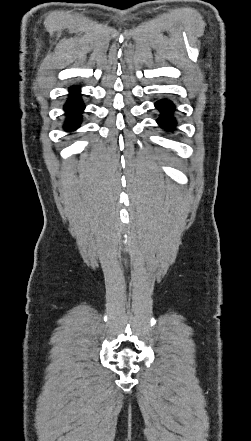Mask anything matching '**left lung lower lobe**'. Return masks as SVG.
<instances>
[{
    "instance_id": "obj_1",
    "label": "left lung lower lobe",
    "mask_w": 251,
    "mask_h": 441,
    "mask_svg": "<svg viewBox=\"0 0 251 441\" xmlns=\"http://www.w3.org/2000/svg\"><path fill=\"white\" fill-rule=\"evenodd\" d=\"M155 107L159 109L161 113L157 120L158 124L166 131H173L176 125V120L173 117V112L175 111L174 104L169 100L163 99L157 101Z\"/></svg>"
}]
</instances>
